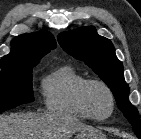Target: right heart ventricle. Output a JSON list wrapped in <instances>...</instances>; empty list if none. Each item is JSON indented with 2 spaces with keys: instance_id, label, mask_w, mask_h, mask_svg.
<instances>
[{
  "instance_id": "right-heart-ventricle-1",
  "label": "right heart ventricle",
  "mask_w": 141,
  "mask_h": 139,
  "mask_svg": "<svg viewBox=\"0 0 141 139\" xmlns=\"http://www.w3.org/2000/svg\"><path fill=\"white\" fill-rule=\"evenodd\" d=\"M85 80V76L71 65H63L49 72L41 82L46 109L61 115L90 119L78 99L79 88Z\"/></svg>"
}]
</instances>
